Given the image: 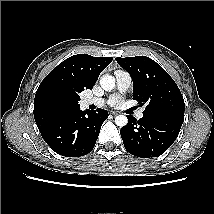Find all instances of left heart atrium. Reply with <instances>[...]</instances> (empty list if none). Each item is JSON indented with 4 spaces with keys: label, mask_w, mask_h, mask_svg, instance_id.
<instances>
[{
    "label": "left heart atrium",
    "mask_w": 214,
    "mask_h": 214,
    "mask_svg": "<svg viewBox=\"0 0 214 214\" xmlns=\"http://www.w3.org/2000/svg\"><path fill=\"white\" fill-rule=\"evenodd\" d=\"M120 103V98L119 97H113L111 99V104L112 105H118Z\"/></svg>",
    "instance_id": "obj_1"
}]
</instances>
